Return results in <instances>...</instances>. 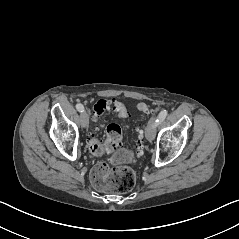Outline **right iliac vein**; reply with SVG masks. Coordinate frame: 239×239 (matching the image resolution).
<instances>
[{
	"label": "right iliac vein",
	"mask_w": 239,
	"mask_h": 239,
	"mask_svg": "<svg viewBox=\"0 0 239 239\" xmlns=\"http://www.w3.org/2000/svg\"><path fill=\"white\" fill-rule=\"evenodd\" d=\"M80 123H81V126L86 128L88 127V124H89V116L86 112H82L81 115H80Z\"/></svg>",
	"instance_id": "63e3f726"
}]
</instances>
